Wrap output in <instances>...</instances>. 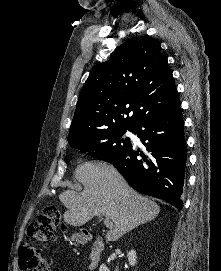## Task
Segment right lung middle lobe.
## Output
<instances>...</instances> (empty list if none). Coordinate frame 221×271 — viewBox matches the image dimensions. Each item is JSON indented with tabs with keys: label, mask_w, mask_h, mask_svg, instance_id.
Here are the masks:
<instances>
[{
	"label": "right lung middle lobe",
	"mask_w": 221,
	"mask_h": 271,
	"mask_svg": "<svg viewBox=\"0 0 221 271\" xmlns=\"http://www.w3.org/2000/svg\"><path fill=\"white\" fill-rule=\"evenodd\" d=\"M129 130L134 133L133 126H115L104 131L83 136L70 141L72 146L83 153L109 163L116 161L124 152L132 147L129 138L122 135Z\"/></svg>",
	"instance_id": "1"
}]
</instances>
